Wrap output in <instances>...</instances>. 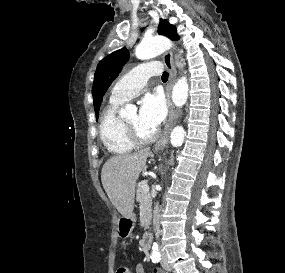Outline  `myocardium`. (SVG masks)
Segmentation results:
<instances>
[{"instance_id":"obj_1","label":"myocardium","mask_w":285,"mask_h":273,"mask_svg":"<svg viewBox=\"0 0 285 273\" xmlns=\"http://www.w3.org/2000/svg\"><path fill=\"white\" fill-rule=\"evenodd\" d=\"M122 126L127 137L134 143L138 145L149 144L155 141L158 137V132H155L150 136H143L139 131L130 126L125 120H122Z\"/></svg>"}]
</instances>
